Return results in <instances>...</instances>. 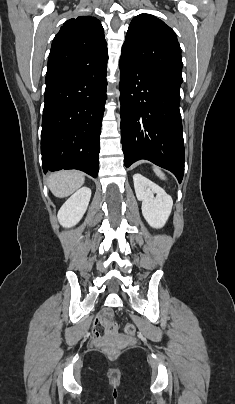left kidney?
<instances>
[{
	"label": "left kidney",
	"instance_id": "left-kidney-1",
	"mask_svg": "<svg viewBox=\"0 0 235 404\" xmlns=\"http://www.w3.org/2000/svg\"><path fill=\"white\" fill-rule=\"evenodd\" d=\"M133 181L136 197L142 201V214L145 220L153 228H162L172 210L171 197L161 187L139 173L133 175Z\"/></svg>",
	"mask_w": 235,
	"mask_h": 404
}]
</instances>
